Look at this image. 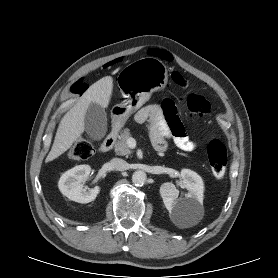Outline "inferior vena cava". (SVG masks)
I'll list each match as a JSON object with an SVG mask.
<instances>
[{
	"instance_id": "inferior-vena-cava-1",
	"label": "inferior vena cava",
	"mask_w": 278,
	"mask_h": 278,
	"mask_svg": "<svg viewBox=\"0 0 278 278\" xmlns=\"http://www.w3.org/2000/svg\"><path fill=\"white\" fill-rule=\"evenodd\" d=\"M110 164L111 167L117 171H124L127 169V162L120 158H113Z\"/></svg>"
}]
</instances>
